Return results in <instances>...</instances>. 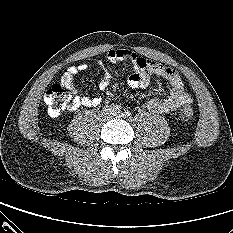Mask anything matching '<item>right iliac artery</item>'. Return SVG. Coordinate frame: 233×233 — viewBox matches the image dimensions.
Wrapping results in <instances>:
<instances>
[{
    "label": "right iliac artery",
    "mask_w": 233,
    "mask_h": 233,
    "mask_svg": "<svg viewBox=\"0 0 233 233\" xmlns=\"http://www.w3.org/2000/svg\"><path fill=\"white\" fill-rule=\"evenodd\" d=\"M113 109L116 112H120L121 111V106L120 105H115Z\"/></svg>",
    "instance_id": "obj_1"
}]
</instances>
